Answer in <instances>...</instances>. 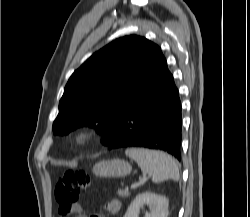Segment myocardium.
<instances>
[{"label":"myocardium","mask_w":250,"mask_h":217,"mask_svg":"<svg viewBox=\"0 0 250 217\" xmlns=\"http://www.w3.org/2000/svg\"><path fill=\"white\" fill-rule=\"evenodd\" d=\"M93 133L88 128L78 130L74 135V142L79 147H86L92 143Z\"/></svg>","instance_id":"obj_1"}]
</instances>
